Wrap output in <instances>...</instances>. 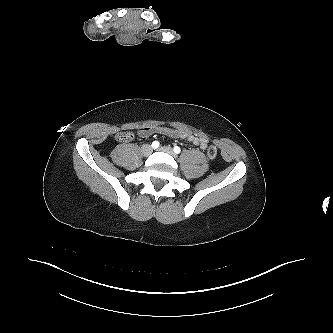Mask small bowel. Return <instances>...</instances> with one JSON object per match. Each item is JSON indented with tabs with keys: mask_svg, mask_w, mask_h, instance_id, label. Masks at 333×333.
I'll list each match as a JSON object with an SVG mask.
<instances>
[{
	"mask_svg": "<svg viewBox=\"0 0 333 333\" xmlns=\"http://www.w3.org/2000/svg\"><path fill=\"white\" fill-rule=\"evenodd\" d=\"M153 133H159L173 138H182L199 146L201 149H206L208 139L206 137L194 135L182 129L169 128L165 126H148L139 129L138 134L141 137H148Z\"/></svg>",
	"mask_w": 333,
	"mask_h": 333,
	"instance_id": "obj_1",
	"label": "small bowel"
}]
</instances>
